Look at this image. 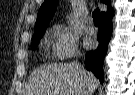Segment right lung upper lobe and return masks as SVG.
Instances as JSON below:
<instances>
[{
  "instance_id": "obj_1",
  "label": "right lung upper lobe",
  "mask_w": 135,
  "mask_h": 95,
  "mask_svg": "<svg viewBox=\"0 0 135 95\" xmlns=\"http://www.w3.org/2000/svg\"><path fill=\"white\" fill-rule=\"evenodd\" d=\"M101 2L106 3L108 5L107 13L102 12L101 18L112 17L113 10L110 7V1L101 0ZM57 3H58V0H45L44 1V3L42 4V6L40 7V10L38 12V16H37V20H36V24H35V32H41V31L46 30V27L55 12Z\"/></svg>"
}]
</instances>
